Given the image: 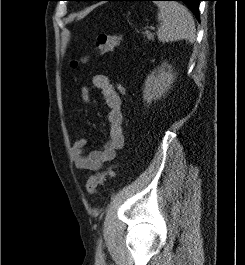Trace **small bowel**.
I'll use <instances>...</instances> for the list:
<instances>
[{
    "label": "small bowel",
    "mask_w": 245,
    "mask_h": 265,
    "mask_svg": "<svg viewBox=\"0 0 245 265\" xmlns=\"http://www.w3.org/2000/svg\"><path fill=\"white\" fill-rule=\"evenodd\" d=\"M94 87L101 91L103 99L109 108L107 120L109 123L108 141L101 150L85 151L87 140L78 138L71 148L74 165L79 170L98 171L102 166L117 156L124 146L123 114L121 110V97L111 80L102 74H95L91 78ZM80 97L85 103L92 102L91 92L82 87Z\"/></svg>",
    "instance_id": "c3829d8e"
}]
</instances>
